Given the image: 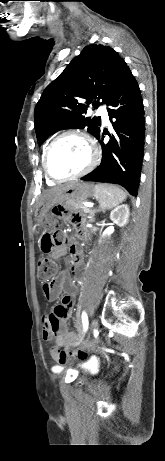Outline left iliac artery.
<instances>
[{
    "label": "left iliac artery",
    "instance_id": "44dca946",
    "mask_svg": "<svg viewBox=\"0 0 165 461\" xmlns=\"http://www.w3.org/2000/svg\"><path fill=\"white\" fill-rule=\"evenodd\" d=\"M82 322H83L84 330L86 331L88 327V317L85 312L82 313Z\"/></svg>",
    "mask_w": 165,
    "mask_h": 461
}]
</instances>
